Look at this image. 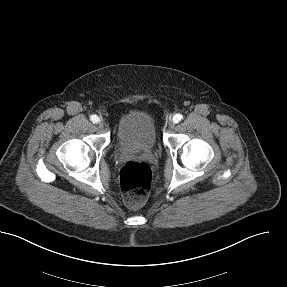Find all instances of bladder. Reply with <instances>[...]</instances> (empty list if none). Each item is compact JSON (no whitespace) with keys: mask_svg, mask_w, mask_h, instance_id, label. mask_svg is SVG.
<instances>
[{"mask_svg":"<svg viewBox=\"0 0 287 287\" xmlns=\"http://www.w3.org/2000/svg\"><path fill=\"white\" fill-rule=\"evenodd\" d=\"M156 140L154 119L149 113L132 110L122 115L116 132V143L121 150H151Z\"/></svg>","mask_w":287,"mask_h":287,"instance_id":"31cf9c89","label":"bladder"}]
</instances>
